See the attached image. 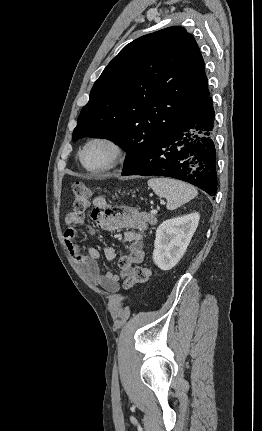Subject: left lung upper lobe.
<instances>
[{
  "instance_id": "1",
  "label": "left lung upper lobe",
  "mask_w": 262,
  "mask_h": 431,
  "mask_svg": "<svg viewBox=\"0 0 262 431\" xmlns=\"http://www.w3.org/2000/svg\"><path fill=\"white\" fill-rule=\"evenodd\" d=\"M199 47L179 26L126 45L94 83L73 141L107 138L127 151L129 171L164 135L208 98Z\"/></svg>"
}]
</instances>
